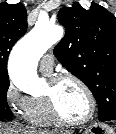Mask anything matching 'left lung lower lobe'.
I'll list each match as a JSON object with an SVG mask.
<instances>
[{
  "label": "left lung lower lobe",
  "mask_w": 116,
  "mask_h": 134,
  "mask_svg": "<svg viewBox=\"0 0 116 134\" xmlns=\"http://www.w3.org/2000/svg\"><path fill=\"white\" fill-rule=\"evenodd\" d=\"M109 120H116V117L114 116V117L110 118ZM109 120H107V121H109ZM100 121H102V120H100Z\"/></svg>",
  "instance_id": "1"
}]
</instances>
